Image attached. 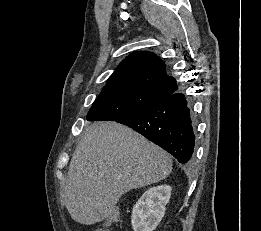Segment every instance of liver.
<instances>
[{
    "label": "liver",
    "mask_w": 261,
    "mask_h": 231,
    "mask_svg": "<svg viewBox=\"0 0 261 231\" xmlns=\"http://www.w3.org/2000/svg\"><path fill=\"white\" fill-rule=\"evenodd\" d=\"M171 171V156L134 130L95 122L72 156L64 185L66 208L75 222H101L124 193L157 183Z\"/></svg>",
    "instance_id": "obj_1"
}]
</instances>
